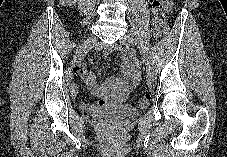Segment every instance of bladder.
I'll use <instances>...</instances> for the list:
<instances>
[{
    "mask_svg": "<svg viewBox=\"0 0 227 157\" xmlns=\"http://www.w3.org/2000/svg\"><path fill=\"white\" fill-rule=\"evenodd\" d=\"M138 110L129 104H114L104 106L96 112L99 117L113 118V119H128L136 116Z\"/></svg>",
    "mask_w": 227,
    "mask_h": 157,
    "instance_id": "1",
    "label": "bladder"
}]
</instances>
